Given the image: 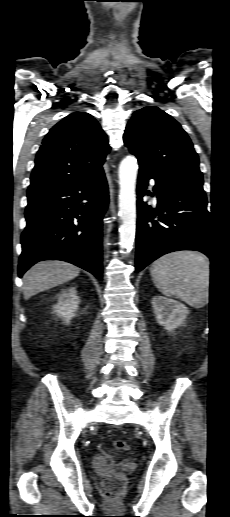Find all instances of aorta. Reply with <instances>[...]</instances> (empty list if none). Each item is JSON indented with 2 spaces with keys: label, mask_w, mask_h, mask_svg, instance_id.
Segmentation results:
<instances>
[{
  "label": "aorta",
  "mask_w": 230,
  "mask_h": 517,
  "mask_svg": "<svg viewBox=\"0 0 230 517\" xmlns=\"http://www.w3.org/2000/svg\"><path fill=\"white\" fill-rule=\"evenodd\" d=\"M138 165L135 157H125L119 166V245L121 253L133 248L136 231V178Z\"/></svg>",
  "instance_id": "1"
}]
</instances>
